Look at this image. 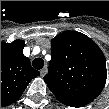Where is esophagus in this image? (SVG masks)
<instances>
[{"instance_id":"1","label":"esophagus","mask_w":109,"mask_h":109,"mask_svg":"<svg viewBox=\"0 0 109 109\" xmlns=\"http://www.w3.org/2000/svg\"><path fill=\"white\" fill-rule=\"evenodd\" d=\"M46 73H47V67L44 66V67L40 70V75H41V77H43Z\"/></svg>"}]
</instances>
